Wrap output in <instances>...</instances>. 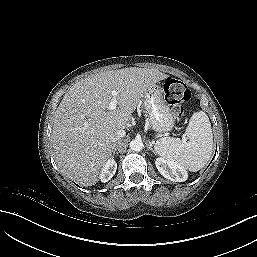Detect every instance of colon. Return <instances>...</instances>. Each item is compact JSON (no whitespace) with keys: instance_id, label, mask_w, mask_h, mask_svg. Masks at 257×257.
Returning <instances> with one entry per match:
<instances>
[{"instance_id":"1","label":"colon","mask_w":257,"mask_h":257,"mask_svg":"<svg viewBox=\"0 0 257 257\" xmlns=\"http://www.w3.org/2000/svg\"><path fill=\"white\" fill-rule=\"evenodd\" d=\"M163 92L174 115L183 116L184 106L191 98V92L187 86L177 79L167 78L163 82Z\"/></svg>"}]
</instances>
